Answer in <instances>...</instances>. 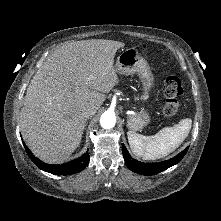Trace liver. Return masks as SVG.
<instances>
[{
	"label": "liver",
	"instance_id": "1",
	"mask_svg": "<svg viewBox=\"0 0 221 221\" xmlns=\"http://www.w3.org/2000/svg\"><path fill=\"white\" fill-rule=\"evenodd\" d=\"M124 43L92 39L64 44L33 76L20 113V130L35 156L65 161L79 146L86 118L83 107H101L120 80L115 53Z\"/></svg>",
	"mask_w": 221,
	"mask_h": 221
}]
</instances>
